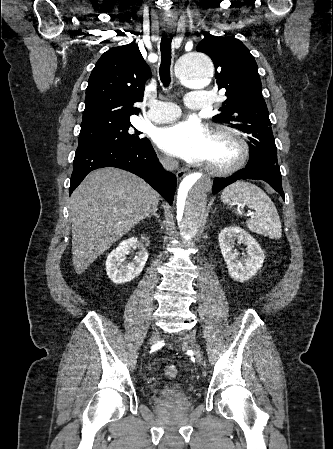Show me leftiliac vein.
<instances>
[{"mask_svg": "<svg viewBox=\"0 0 333 449\" xmlns=\"http://www.w3.org/2000/svg\"><path fill=\"white\" fill-rule=\"evenodd\" d=\"M185 341L189 343L194 351L195 358L199 364L203 361V355L200 347L197 345L195 337L193 334H188L184 337Z\"/></svg>", "mask_w": 333, "mask_h": 449, "instance_id": "obj_1", "label": "left iliac vein"}]
</instances>
